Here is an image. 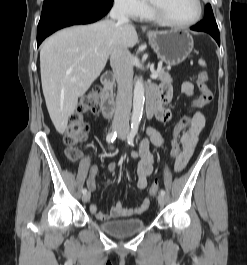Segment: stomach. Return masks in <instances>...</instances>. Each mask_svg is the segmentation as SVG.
<instances>
[{"label":"stomach","instance_id":"0dacf381","mask_svg":"<svg viewBox=\"0 0 247 265\" xmlns=\"http://www.w3.org/2000/svg\"><path fill=\"white\" fill-rule=\"evenodd\" d=\"M148 38L157 57L169 66L182 63L194 47L192 36L182 29L150 31Z\"/></svg>","mask_w":247,"mask_h":265}]
</instances>
